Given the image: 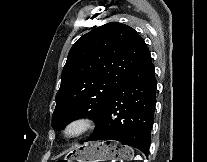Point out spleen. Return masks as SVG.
Wrapping results in <instances>:
<instances>
[{
  "mask_svg": "<svg viewBox=\"0 0 207 162\" xmlns=\"http://www.w3.org/2000/svg\"><path fill=\"white\" fill-rule=\"evenodd\" d=\"M134 160H142L141 156L140 155H137Z\"/></svg>",
  "mask_w": 207,
  "mask_h": 162,
  "instance_id": "spleen-1",
  "label": "spleen"
}]
</instances>
